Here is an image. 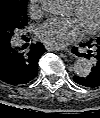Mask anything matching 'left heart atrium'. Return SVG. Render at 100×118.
Returning <instances> with one entry per match:
<instances>
[{
	"label": "left heart atrium",
	"instance_id": "1",
	"mask_svg": "<svg viewBox=\"0 0 100 118\" xmlns=\"http://www.w3.org/2000/svg\"><path fill=\"white\" fill-rule=\"evenodd\" d=\"M82 36L77 20L50 19L37 29L40 41L53 48H62L76 42Z\"/></svg>",
	"mask_w": 100,
	"mask_h": 118
}]
</instances>
